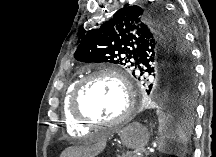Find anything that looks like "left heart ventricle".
<instances>
[{
	"label": "left heart ventricle",
	"mask_w": 216,
	"mask_h": 157,
	"mask_svg": "<svg viewBox=\"0 0 216 157\" xmlns=\"http://www.w3.org/2000/svg\"><path fill=\"white\" fill-rule=\"evenodd\" d=\"M81 110L100 121H113L125 109L126 101L122 88L113 79L97 77L84 88L80 100Z\"/></svg>",
	"instance_id": "1"
}]
</instances>
